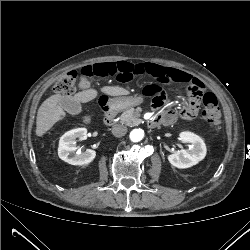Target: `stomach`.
<instances>
[{
  "label": "stomach",
  "instance_id": "stomach-1",
  "mask_svg": "<svg viewBox=\"0 0 250 250\" xmlns=\"http://www.w3.org/2000/svg\"><path fill=\"white\" fill-rule=\"evenodd\" d=\"M143 102L142 96H128V97H118L111 100V104L118 109H126Z\"/></svg>",
  "mask_w": 250,
  "mask_h": 250
}]
</instances>
